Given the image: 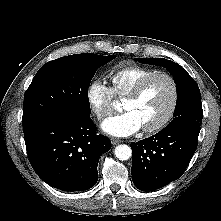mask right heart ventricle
Segmentation results:
<instances>
[{
  "instance_id": "obj_1",
  "label": "right heart ventricle",
  "mask_w": 221,
  "mask_h": 221,
  "mask_svg": "<svg viewBox=\"0 0 221 221\" xmlns=\"http://www.w3.org/2000/svg\"><path fill=\"white\" fill-rule=\"evenodd\" d=\"M156 72L153 69L138 66H124L110 76L111 91L117 97H126L135 85L147 75Z\"/></svg>"
}]
</instances>
